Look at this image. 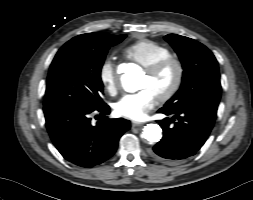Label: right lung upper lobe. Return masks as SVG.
I'll return each mask as SVG.
<instances>
[{
	"mask_svg": "<svg viewBox=\"0 0 253 200\" xmlns=\"http://www.w3.org/2000/svg\"><path fill=\"white\" fill-rule=\"evenodd\" d=\"M111 36L113 35H110L107 33L95 32V33L82 34L75 38L98 42V41L106 40L110 38Z\"/></svg>",
	"mask_w": 253,
	"mask_h": 200,
	"instance_id": "cb5924a9",
	"label": "right lung upper lobe"
}]
</instances>
